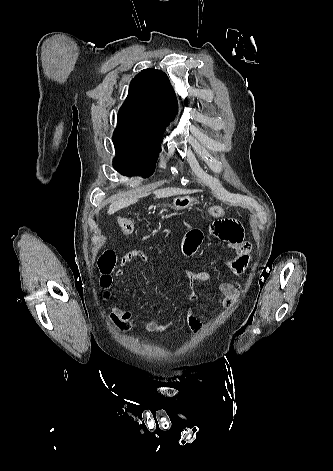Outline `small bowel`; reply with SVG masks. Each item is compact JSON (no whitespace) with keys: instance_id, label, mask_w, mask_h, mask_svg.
<instances>
[{"instance_id":"c3829d8e","label":"small bowel","mask_w":333,"mask_h":471,"mask_svg":"<svg viewBox=\"0 0 333 471\" xmlns=\"http://www.w3.org/2000/svg\"><path fill=\"white\" fill-rule=\"evenodd\" d=\"M216 220L209 228V233L225 242L232 250V257L226 261L228 271L233 275H239L246 271L250 265L252 256V246L244 237V229L242 222L234 217H215ZM204 239V232L200 229L191 230L183 241V250L185 254H193ZM139 259L142 262L148 261L147 254L138 249H131L120 260V265L125 266L133 260ZM123 271L118 269L116 276H123ZM185 275L189 280L191 290L190 299L197 300L198 295L195 285L205 283L212 280L213 276L208 271H191L186 270ZM219 291L216 302L225 308H230L238 301L241 296V285L237 282H219L217 284ZM109 320L121 331H128L133 327L135 316L131 311L114 306L109 314ZM187 325L195 332L201 331L204 327L203 323L194 315L192 311L185 314ZM143 328L148 332L165 333L174 325V320L162 323L158 320H150L143 322Z\"/></svg>"}]
</instances>
